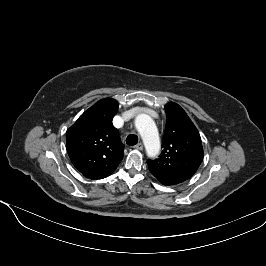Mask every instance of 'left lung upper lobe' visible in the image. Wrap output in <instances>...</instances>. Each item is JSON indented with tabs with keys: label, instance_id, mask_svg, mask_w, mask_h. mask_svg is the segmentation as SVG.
I'll list each match as a JSON object with an SVG mask.
<instances>
[{
	"label": "left lung upper lobe",
	"instance_id": "5c2ea615",
	"mask_svg": "<svg viewBox=\"0 0 266 266\" xmlns=\"http://www.w3.org/2000/svg\"><path fill=\"white\" fill-rule=\"evenodd\" d=\"M166 128L162 152L148 160V167L164 185H176L191 178L203 160L200 134L186 112L174 102L165 106Z\"/></svg>",
	"mask_w": 266,
	"mask_h": 266
}]
</instances>
